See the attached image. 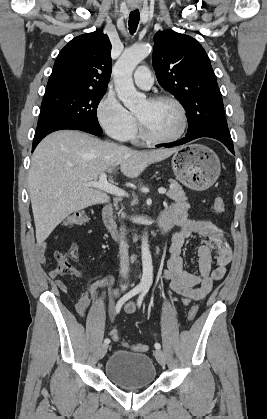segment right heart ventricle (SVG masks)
Wrapping results in <instances>:
<instances>
[{"label":"right heart ventricle","mask_w":267,"mask_h":419,"mask_svg":"<svg viewBox=\"0 0 267 419\" xmlns=\"http://www.w3.org/2000/svg\"><path fill=\"white\" fill-rule=\"evenodd\" d=\"M139 138V136L137 135V132L135 130L134 134L132 135L131 139L132 140H137Z\"/></svg>","instance_id":"right-heart-ventricle-1"}]
</instances>
